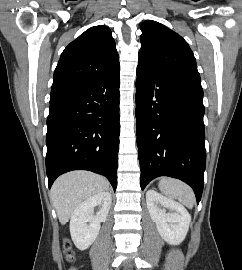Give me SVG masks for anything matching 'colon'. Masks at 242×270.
<instances>
[{
    "mask_svg": "<svg viewBox=\"0 0 242 270\" xmlns=\"http://www.w3.org/2000/svg\"><path fill=\"white\" fill-rule=\"evenodd\" d=\"M64 247H65V250H66L67 260L73 261L74 260V255H73V252L71 251L70 244L68 242H65Z\"/></svg>",
    "mask_w": 242,
    "mask_h": 270,
    "instance_id": "5ec220e1",
    "label": "colon"
}]
</instances>
